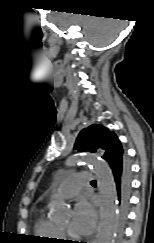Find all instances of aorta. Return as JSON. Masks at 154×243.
<instances>
[{"instance_id": "1", "label": "aorta", "mask_w": 154, "mask_h": 243, "mask_svg": "<svg viewBox=\"0 0 154 243\" xmlns=\"http://www.w3.org/2000/svg\"><path fill=\"white\" fill-rule=\"evenodd\" d=\"M85 164L91 166L98 180L101 197L100 225L95 240L92 243H114L117 230L116 189L112 171L103 161L93 155L82 154L68 161V165ZM65 209V203L58 196L51 199V211L60 216Z\"/></svg>"}]
</instances>
